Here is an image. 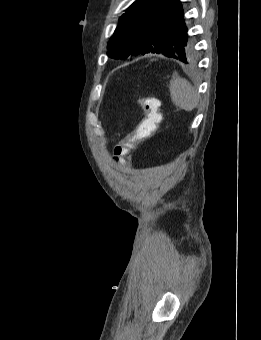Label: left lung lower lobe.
Masks as SVG:
<instances>
[{
	"label": "left lung lower lobe",
	"instance_id": "left-lung-lower-lobe-1",
	"mask_svg": "<svg viewBox=\"0 0 261 340\" xmlns=\"http://www.w3.org/2000/svg\"><path fill=\"white\" fill-rule=\"evenodd\" d=\"M160 13L166 15V17L169 20L170 19H173V20L179 19L180 16H184L183 8H182L181 2L179 0H167L165 2V4L163 5V7L161 8ZM159 53H161V54H163L167 57L175 58L173 53H171L170 51H167V50H162ZM159 53H157V54H159ZM182 62H184V61H182ZM184 63H186V62H184Z\"/></svg>",
	"mask_w": 261,
	"mask_h": 340
}]
</instances>
